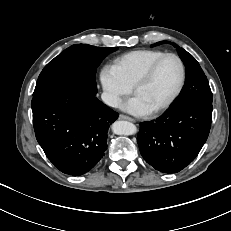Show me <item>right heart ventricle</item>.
<instances>
[{"label":"right heart ventricle","mask_w":231,"mask_h":231,"mask_svg":"<svg viewBox=\"0 0 231 231\" xmlns=\"http://www.w3.org/2000/svg\"><path fill=\"white\" fill-rule=\"evenodd\" d=\"M164 53L161 50L153 49L134 50L117 57L112 66L120 77L132 87L144 70Z\"/></svg>","instance_id":"e07e8e85"}]
</instances>
